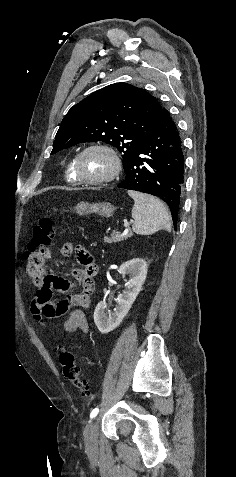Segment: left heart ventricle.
Returning a JSON list of instances; mask_svg holds the SVG:
<instances>
[{
    "label": "left heart ventricle",
    "mask_w": 236,
    "mask_h": 477,
    "mask_svg": "<svg viewBox=\"0 0 236 477\" xmlns=\"http://www.w3.org/2000/svg\"><path fill=\"white\" fill-rule=\"evenodd\" d=\"M111 170L110 159L100 151H89L81 159L80 171L86 178H100Z\"/></svg>",
    "instance_id": "obj_1"
}]
</instances>
